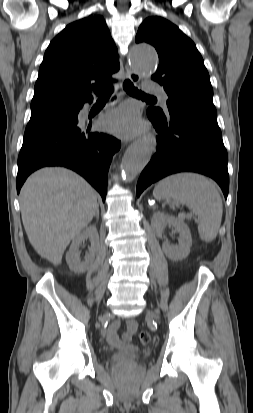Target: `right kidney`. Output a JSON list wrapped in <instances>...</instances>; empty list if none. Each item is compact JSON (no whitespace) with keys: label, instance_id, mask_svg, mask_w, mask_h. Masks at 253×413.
<instances>
[{"label":"right kidney","instance_id":"obj_1","mask_svg":"<svg viewBox=\"0 0 253 413\" xmlns=\"http://www.w3.org/2000/svg\"><path fill=\"white\" fill-rule=\"evenodd\" d=\"M90 239L91 246L89 252L86 253L84 261L80 259L79 247L83 241ZM99 249V235L94 225L84 229L71 243L69 251L66 254V262L71 271L75 273H84L92 265L95 255Z\"/></svg>","mask_w":253,"mask_h":413}]
</instances>
